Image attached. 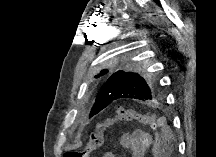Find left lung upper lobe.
Returning a JSON list of instances; mask_svg holds the SVG:
<instances>
[{"mask_svg": "<svg viewBox=\"0 0 216 157\" xmlns=\"http://www.w3.org/2000/svg\"><path fill=\"white\" fill-rule=\"evenodd\" d=\"M142 67V64H105V69L95 77L108 75L107 69H112V75L98 93L94 105L124 99L148 101L157 98L160 85L153 76L140 75L144 74Z\"/></svg>", "mask_w": 216, "mask_h": 157, "instance_id": "obj_1", "label": "left lung upper lobe"}]
</instances>
